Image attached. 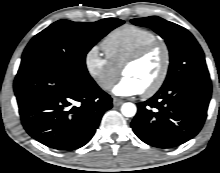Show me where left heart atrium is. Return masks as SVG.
<instances>
[{"mask_svg":"<svg viewBox=\"0 0 220 173\" xmlns=\"http://www.w3.org/2000/svg\"><path fill=\"white\" fill-rule=\"evenodd\" d=\"M112 91L117 96H134L143 92L138 83L127 76L121 78Z\"/></svg>","mask_w":220,"mask_h":173,"instance_id":"obj_1","label":"left heart atrium"}]
</instances>
